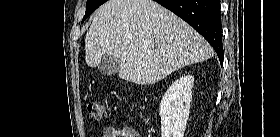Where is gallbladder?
Returning a JSON list of instances; mask_svg holds the SVG:
<instances>
[{
    "label": "gallbladder",
    "mask_w": 280,
    "mask_h": 137,
    "mask_svg": "<svg viewBox=\"0 0 280 137\" xmlns=\"http://www.w3.org/2000/svg\"><path fill=\"white\" fill-rule=\"evenodd\" d=\"M121 62L111 54H105L98 65L102 75L112 76L118 73Z\"/></svg>",
    "instance_id": "obj_1"
}]
</instances>
